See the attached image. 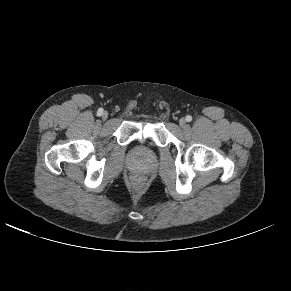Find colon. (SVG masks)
<instances>
[{
  "label": "colon",
  "mask_w": 291,
  "mask_h": 291,
  "mask_svg": "<svg viewBox=\"0 0 291 291\" xmlns=\"http://www.w3.org/2000/svg\"><path fill=\"white\" fill-rule=\"evenodd\" d=\"M133 179H134L135 181H141V180H142V176L136 174V175L133 176Z\"/></svg>",
  "instance_id": "5ec220e1"
}]
</instances>
